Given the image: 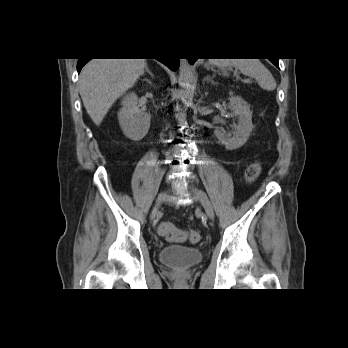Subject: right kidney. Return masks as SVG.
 Here are the masks:
<instances>
[{
    "label": "right kidney",
    "instance_id": "ca27d5eb",
    "mask_svg": "<svg viewBox=\"0 0 348 348\" xmlns=\"http://www.w3.org/2000/svg\"><path fill=\"white\" fill-rule=\"evenodd\" d=\"M121 104L118 120L124 135L133 141L143 139L149 131L151 116L138 108V97L133 92L127 94Z\"/></svg>",
    "mask_w": 348,
    "mask_h": 348
}]
</instances>
